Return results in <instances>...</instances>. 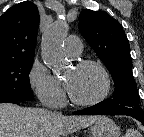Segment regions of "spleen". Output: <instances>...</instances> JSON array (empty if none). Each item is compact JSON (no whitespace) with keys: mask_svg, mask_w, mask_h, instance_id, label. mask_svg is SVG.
I'll list each match as a JSON object with an SVG mask.
<instances>
[{"mask_svg":"<svg viewBox=\"0 0 144 137\" xmlns=\"http://www.w3.org/2000/svg\"><path fill=\"white\" fill-rule=\"evenodd\" d=\"M126 137H141V134L138 131L134 130V129H129L127 131Z\"/></svg>","mask_w":144,"mask_h":137,"instance_id":"spleen-1","label":"spleen"}]
</instances>
